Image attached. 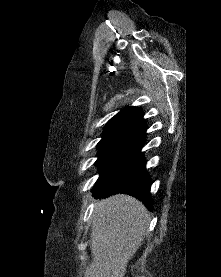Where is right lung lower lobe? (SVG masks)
Instances as JSON below:
<instances>
[{
    "label": "right lung lower lobe",
    "instance_id": "obj_1",
    "mask_svg": "<svg viewBox=\"0 0 221 277\" xmlns=\"http://www.w3.org/2000/svg\"><path fill=\"white\" fill-rule=\"evenodd\" d=\"M143 126L146 129L145 121H143ZM143 144L118 169L97 180L93 188L96 196L107 197L117 193H126L141 200L147 208L152 210L151 179L145 170V160L140 153Z\"/></svg>",
    "mask_w": 221,
    "mask_h": 277
}]
</instances>
